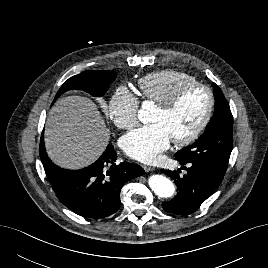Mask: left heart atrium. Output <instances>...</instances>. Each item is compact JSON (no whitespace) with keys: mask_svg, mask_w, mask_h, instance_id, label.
<instances>
[{"mask_svg":"<svg viewBox=\"0 0 268 268\" xmlns=\"http://www.w3.org/2000/svg\"><path fill=\"white\" fill-rule=\"evenodd\" d=\"M170 139L163 125L152 123L128 132L122 139V146L130 158L153 163L157 161L159 154L168 148Z\"/></svg>","mask_w":268,"mask_h":268,"instance_id":"39dd6f15","label":"left heart atrium"}]
</instances>
